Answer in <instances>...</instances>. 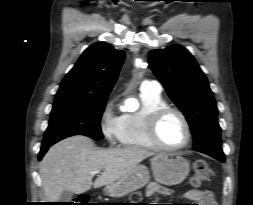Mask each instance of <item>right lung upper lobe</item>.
<instances>
[{
  "mask_svg": "<svg viewBox=\"0 0 253 205\" xmlns=\"http://www.w3.org/2000/svg\"><path fill=\"white\" fill-rule=\"evenodd\" d=\"M124 58L107 43L91 45L61 82L55 101L107 99Z\"/></svg>",
  "mask_w": 253,
  "mask_h": 205,
  "instance_id": "obj_1",
  "label": "right lung upper lobe"
}]
</instances>
